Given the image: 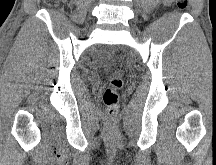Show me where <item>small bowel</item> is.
Listing matches in <instances>:
<instances>
[{
    "mask_svg": "<svg viewBox=\"0 0 216 165\" xmlns=\"http://www.w3.org/2000/svg\"><path fill=\"white\" fill-rule=\"evenodd\" d=\"M165 4L169 5L173 2V0H163Z\"/></svg>",
    "mask_w": 216,
    "mask_h": 165,
    "instance_id": "c3829d8e",
    "label": "small bowel"
}]
</instances>
